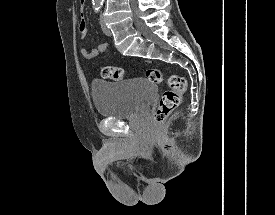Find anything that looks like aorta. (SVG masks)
<instances>
[{
    "mask_svg": "<svg viewBox=\"0 0 275 215\" xmlns=\"http://www.w3.org/2000/svg\"><path fill=\"white\" fill-rule=\"evenodd\" d=\"M104 0H92L93 4L96 5V6H100L102 5Z\"/></svg>",
    "mask_w": 275,
    "mask_h": 215,
    "instance_id": "1",
    "label": "aorta"
}]
</instances>
